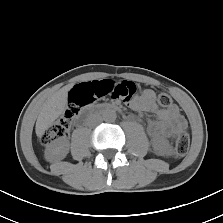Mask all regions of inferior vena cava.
<instances>
[{
	"instance_id": "inferior-vena-cava-1",
	"label": "inferior vena cava",
	"mask_w": 223,
	"mask_h": 223,
	"mask_svg": "<svg viewBox=\"0 0 223 223\" xmlns=\"http://www.w3.org/2000/svg\"><path fill=\"white\" fill-rule=\"evenodd\" d=\"M102 121V117L99 115H92L88 120V126H94Z\"/></svg>"
}]
</instances>
